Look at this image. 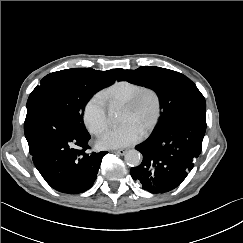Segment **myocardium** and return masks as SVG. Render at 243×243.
Instances as JSON below:
<instances>
[{"mask_svg": "<svg viewBox=\"0 0 243 243\" xmlns=\"http://www.w3.org/2000/svg\"><path fill=\"white\" fill-rule=\"evenodd\" d=\"M146 95H152L154 97L156 102V113L151 125L143 133L145 136L151 134L155 130L162 116L163 104L159 92L152 87L143 86L124 104L125 109L137 110Z\"/></svg>", "mask_w": 243, "mask_h": 243, "instance_id": "1", "label": "myocardium"}]
</instances>
